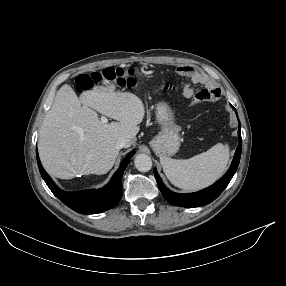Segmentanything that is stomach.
<instances>
[{"instance_id": "0dacf381", "label": "stomach", "mask_w": 286, "mask_h": 286, "mask_svg": "<svg viewBox=\"0 0 286 286\" xmlns=\"http://www.w3.org/2000/svg\"><path fill=\"white\" fill-rule=\"evenodd\" d=\"M155 114L161 130L152 139L151 146L160 157L172 156L178 152L181 142L174 112L168 103L161 101L155 107Z\"/></svg>"}]
</instances>
